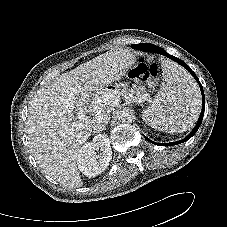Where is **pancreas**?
I'll return each instance as SVG.
<instances>
[{"mask_svg":"<svg viewBox=\"0 0 227 227\" xmlns=\"http://www.w3.org/2000/svg\"><path fill=\"white\" fill-rule=\"evenodd\" d=\"M128 94L132 95V101L137 102L140 98L148 96L144 89L140 86L134 85L130 90H125Z\"/></svg>","mask_w":227,"mask_h":227,"instance_id":"1","label":"pancreas"}]
</instances>
